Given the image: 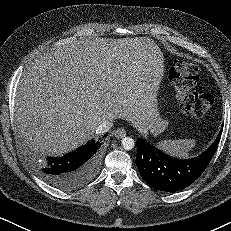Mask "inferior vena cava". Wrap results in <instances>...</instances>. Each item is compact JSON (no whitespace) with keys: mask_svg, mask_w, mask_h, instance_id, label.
I'll list each match as a JSON object with an SVG mask.
<instances>
[{"mask_svg":"<svg viewBox=\"0 0 231 231\" xmlns=\"http://www.w3.org/2000/svg\"><path fill=\"white\" fill-rule=\"evenodd\" d=\"M113 126V122L112 121H102L96 128L95 132L96 134H104L106 133L108 130H110Z\"/></svg>","mask_w":231,"mask_h":231,"instance_id":"1","label":"inferior vena cava"}]
</instances>
